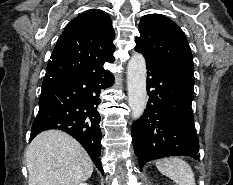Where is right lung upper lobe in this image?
I'll return each instance as SVG.
<instances>
[{
    "label": "right lung upper lobe",
    "instance_id": "cb5924a9",
    "mask_svg": "<svg viewBox=\"0 0 233 185\" xmlns=\"http://www.w3.org/2000/svg\"><path fill=\"white\" fill-rule=\"evenodd\" d=\"M115 32L110 16L99 9L85 11L66 26L48 62L44 80L104 69L113 62Z\"/></svg>",
    "mask_w": 233,
    "mask_h": 185
}]
</instances>
